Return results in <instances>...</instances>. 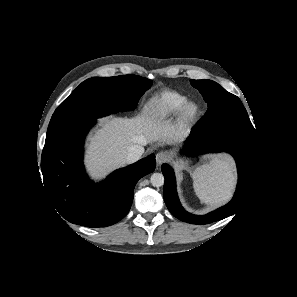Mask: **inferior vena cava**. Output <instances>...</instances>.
I'll return each instance as SVG.
<instances>
[{
    "label": "inferior vena cava",
    "mask_w": 297,
    "mask_h": 297,
    "mask_svg": "<svg viewBox=\"0 0 297 297\" xmlns=\"http://www.w3.org/2000/svg\"><path fill=\"white\" fill-rule=\"evenodd\" d=\"M144 153V147L142 145H133L129 148L126 156V161L128 163L135 162L140 159Z\"/></svg>",
    "instance_id": "602c4592"
}]
</instances>
